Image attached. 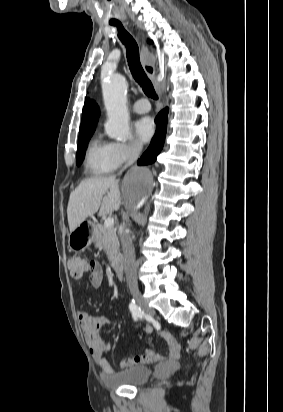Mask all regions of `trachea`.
<instances>
[{"instance_id": "trachea-1", "label": "trachea", "mask_w": 283, "mask_h": 412, "mask_svg": "<svg viewBox=\"0 0 283 412\" xmlns=\"http://www.w3.org/2000/svg\"><path fill=\"white\" fill-rule=\"evenodd\" d=\"M119 30V38L126 46L127 61L135 81L142 87L144 93L153 99H158L152 83L148 80L139 58V47L132 36L124 29L120 22L112 23Z\"/></svg>"}]
</instances>
